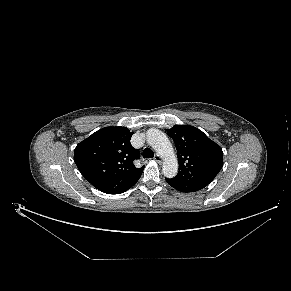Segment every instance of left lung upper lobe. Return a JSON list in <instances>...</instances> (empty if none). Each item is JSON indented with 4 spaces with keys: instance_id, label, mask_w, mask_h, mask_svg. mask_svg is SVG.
I'll return each instance as SVG.
<instances>
[{
    "instance_id": "5c2ea615",
    "label": "left lung upper lobe",
    "mask_w": 291,
    "mask_h": 291,
    "mask_svg": "<svg viewBox=\"0 0 291 291\" xmlns=\"http://www.w3.org/2000/svg\"><path fill=\"white\" fill-rule=\"evenodd\" d=\"M167 134L175 141L179 162L178 174L172 179L182 183H211L223 166L222 149L190 125H174Z\"/></svg>"
}]
</instances>
